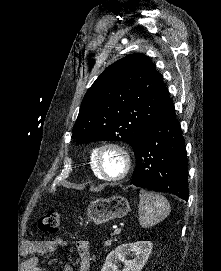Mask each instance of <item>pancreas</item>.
<instances>
[{"label": "pancreas", "instance_id": "1", "mask_svg": "<svg viewBox=\"0 0 221 271\" xmlns=\"http://www.w3.org/2000/svg\"><path fill=\"white\" fill-rule=\"evenodd\" d=\"M117 243L116 239H105L102 243L103 247H114V244Z\"/></svg>", "mask_w": 221, "mask_h": 271}]
</instances>
